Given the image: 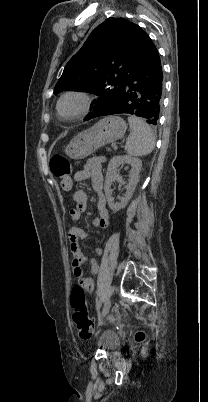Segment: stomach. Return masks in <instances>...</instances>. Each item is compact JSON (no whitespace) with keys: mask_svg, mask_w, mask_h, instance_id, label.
Segmentation results:
<instances>
[{"mask_svg":"<svg viewBox=\"0 0 208 402\" xmlns=\"http://www.w3.org/2000/svg\"><path fill=\"white\" fill-rule=\"evenodd\" d=\"M126 130L127 124L122 118H118V116L103 118L89 130H85V132H81L72 138L64 152L73 160H82V158L91 156L101 146H106V144L123 138Z\"/></svg>","mask_w":208,"mask_h":402,"instance_id":"1","label":"stomach"}]
</instances>
